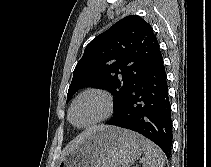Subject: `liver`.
I'll list each match as a JSON object with an SVG mask.
<instances>
[{
  "instance_id": "liver-1",
  "label": "liver",
  "mask_w": 211,
  "mask_h": 167,
  "mask_svg": "<svg viewBox=\"0 0 211 167\" xmlns=\"http://www.w3.org/2000/svg\"><path fill=\"white\" fill-rule=\"evenodd\" d=\"M99 127H103V126H95L92 127L90 129H88L87 131H85L82 135H80L76 140H74L73 142H71L64 150V154H66L67 152H69L70 150H72L73 148H75L77 145H79L83 139L94 129L99 128Z\"/></svg>"
}]
</instances>
